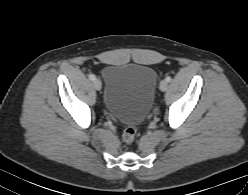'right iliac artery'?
Masks as SVG:
<instances>
[{
    "label": "right iliac artery",
    "mask_w": 248,
    "mask_h": 195,
    "mask_svg": "<svg viewBox=\"0 0 248 195\" xmlns=\"http://www.w3.org/2000/svg\"><path fill=\"white\" fill-rule=\"evenodd\" d=\"M89 79L92 80V81H94V80L96 79V77H95V75L90 74V75H89Z\"/></svg>",
    "instance_id": "right-iliac-artery-1"
}]
</instances>
